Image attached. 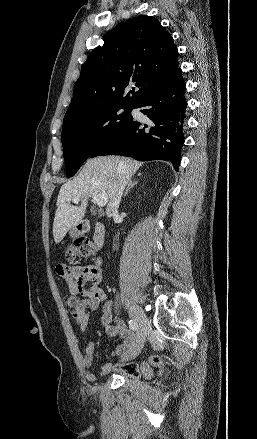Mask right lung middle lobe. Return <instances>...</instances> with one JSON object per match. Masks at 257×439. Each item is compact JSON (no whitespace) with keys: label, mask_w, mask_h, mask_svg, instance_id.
<instances>
[{"label":"right lung middle lobe","mask_w":257,"mask_h":439,"mask_svg":"<svg viewBox=\"0 0 257 439\" xmlns=\"http://www.w3.org/2000/svg\"><path fill=\"white\" fill-rule=\"evenodd\" d=\"M133 108L111 105L63 121L61 141L67 178L78 171L96 147L133 119Z\"/></svg>","instance_id":"right-lung-middle-lobe-1"}]
</instances>
